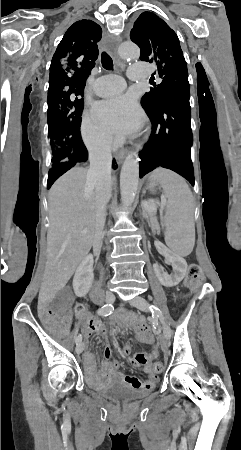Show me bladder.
<instances>
[{
	"instance_id": "31cf9c89",
	"label": "bladder",
	"mask_w": 241,
	"mask_h": 450,
	"mask_svg": "<svg viewBox=\"0 0 241 450\" xmlns=\"http://www.w3.org/2000/svg\"><path fill=\"white\" fill-rule=\"evenodd\" d=\"M103 394L115 401L129 402L142 396L140 392L123 383H114L103 389Z\"/></svg>"
}]
</instances>
